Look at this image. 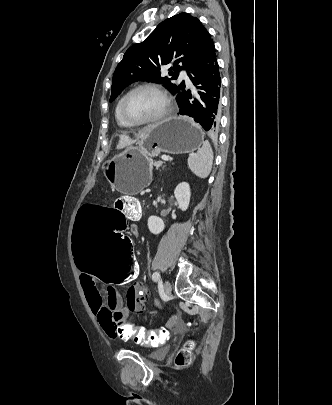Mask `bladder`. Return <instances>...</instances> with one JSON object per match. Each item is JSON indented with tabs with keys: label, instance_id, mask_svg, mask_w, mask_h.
Wrapping results in <instances>:
<instances>
[{
	"label": "bladder",
	"instance_id": "1",
	"mask_svg": "<svg viewBox=\"0 0 332 405\" xmlns=\"http://www.w3.org/2000/svg\"><path fill=\"white\" fill-rule=\"evenodd\" d=\"M168 347L167 346H161L157 348L156 350L150 352L148 354V358L153 359V360H160L163 359L167 353H168Z\"/></svg>",
	"mask_w": 332,
	"mask_h": 405
}]
</instances>
